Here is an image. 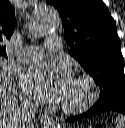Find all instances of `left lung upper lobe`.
<instances>
[{
  "label": "left lung upper lobe",
  "mask_w": 125,
  "mask_h": 128,
  "mask_svg": "<svg viewBox=\"0 0 125 128\" xmlns=\"http://www.w3.org/2000/svg\"><path fill=\"white\" fill-rule=\"evenodd\" d=\"M60 13L69 54L100 87L97 103L125 89L124 58L114 19L102 0H47Z\"/></svg>",
  "instance_id": "left-lung-upper-lobe-1"
}]
</instances>
